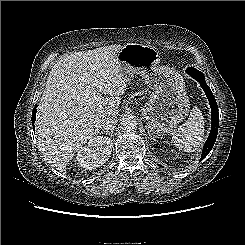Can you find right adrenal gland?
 Returning <instances> with one entry per match:
<instances>
[{
    "label": "right adrenal gland",
    "instance_id": "obj_1",
    "mask_svg": "<svg viewBox=\"0 0 245 245\" xmlns=\"http://www.w3.org/2000/svg\"><path fill=\"white\" fill-rule=\"evenodd\" d=\"M102 134L110 135L111 137L113 136V130L111 131H101Z\"/></svg>",
    "mask_w": 245,
    "mask_h": 245
}]
</instances>
